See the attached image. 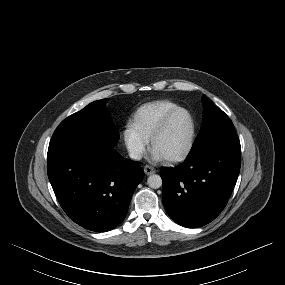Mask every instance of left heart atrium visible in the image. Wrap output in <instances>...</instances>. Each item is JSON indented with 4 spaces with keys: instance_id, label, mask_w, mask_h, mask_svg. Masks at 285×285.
Masks as SVG:
<instances>
[{
    "instance_id": "1",
    "label": "left heart atrium",
    "mask_w": 285,
    "mask_h": 285,
    "mask_svg": "<svg viewBox=\"0 0 285 285\" xmlns=\"http://www.w3.org/2000/svg\"><path fill=\"white\" fill-rule=\"evenodd\" d=\"M152 159H153L154 161H161V160H163L164 158H163L159 153H157L156 151H153V153H152Z\"/></svg>"
}]
</instances>
